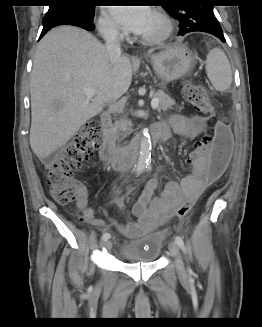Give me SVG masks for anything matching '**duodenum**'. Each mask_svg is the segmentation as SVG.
I'll return each mask as SVG.
<instances>
[{
    "instance_id": "obj_1",
    "label": "duodenum",
    "mask_w": 262,
    "mask_h": 327,
    "mask_svg": "<svg viewBox=\"0 0 262 327\" xmlns=\"http://www.w3.org/2000/svg\"><path fill=\"white\" fill-rule=\"evenodd\" d=\"M102 143L98 150L99 158L106 164L118 167H131L135 163L144 143H155L159 141L158 124L150 130L149 138L138 137L125 147H118L114 138L111 111H104L101 115Z\"/></svg>"
}]
</instances>
